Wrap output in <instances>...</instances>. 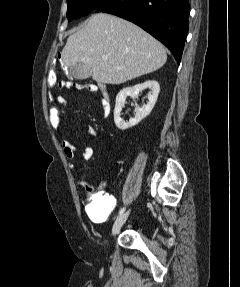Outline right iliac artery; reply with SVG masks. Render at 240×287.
Wrapping results in <instances>:
<instances>
[{
    "instance_id": "1",
    "label": "right iliac artery",
    "mask_w": 240,
    "mask_h": 287,
    "mask_svg": "<svg viewBox=\"0 0 240 287\" xmlns=\"http://www.w3.org/2000/svg\"><path fill=\"white\" fill-rule=\"evenodd\" d=\"M124 211H125V207L121 208L118 216H121L124 213Z\"/></svg>"
}]
</instances>
